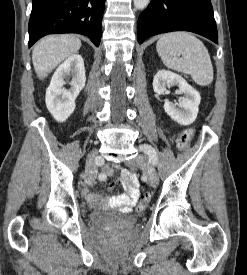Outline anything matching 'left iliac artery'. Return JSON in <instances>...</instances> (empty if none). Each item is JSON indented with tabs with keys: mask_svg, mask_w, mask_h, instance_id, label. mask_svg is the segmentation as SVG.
I'll use <instances>...</instances> for the list:
<instances>
[{
	"mask_svg": "<svg viewBox=\"0 0 247 275\" xmlns=\"http://www.w3.org/2000/svg\"><path fill=\"white\" fill-rule=\"evenodd\" d=\"M140 150L146 153L149 157V161L153 166H156L158 163V155L153 147L147 144H142Z\"/></svg>",
	"mask_w": 247,
	"mask_h": 275,
	"instance_id": "1",
	"label": "left iliac artery"
}]
</instances>
